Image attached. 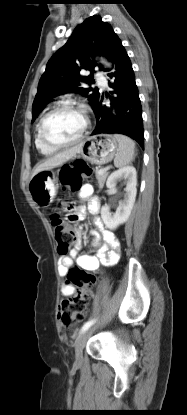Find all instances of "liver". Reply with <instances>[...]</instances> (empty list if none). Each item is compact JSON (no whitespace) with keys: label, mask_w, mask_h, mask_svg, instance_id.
Listing matches in <instances>:
<instances>
[{"label":"liver","mask_w":187,"mask_h":415,"mask_svg":"<svg viewBox=\"0 0 187 415\" xmlns=\"http://www.w3.org/2000/svg\"><path fill=\"white\" fill-rule=\"evenodd\" d=\"M82 149V143L79 145H76L70 149H66L48 159H46L43 163L39 164L32 174V177L36 175L37 173L45 170L53 169L59 165H62L72 157H75L77 153H80Z\"/></svg>","instance_id":"obj_1"}]
</instances>
